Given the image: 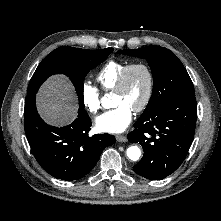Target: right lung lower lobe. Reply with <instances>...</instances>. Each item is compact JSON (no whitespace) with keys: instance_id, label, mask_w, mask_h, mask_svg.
Listing matches in <instances>:
<instances>
[{"instance_id":"1","label":"right lung lower lobe","mask_w":221,"mask_h":221,"mask_svg":"<svg viewBox=\"0 0 221 221\" xmlns=\"http://www.w3.org/2000/svg\"><path fill=\"white\" fill-rule=\"evenodd\" d=\"M25 133L34 157L51 176L65 181L85 177L95 167L104 148L115 143L110 134L89 136L91 120L84 108L68 126L53 127L39 116L35 94L25 100Z\"/></svg>"}]
</instances>
